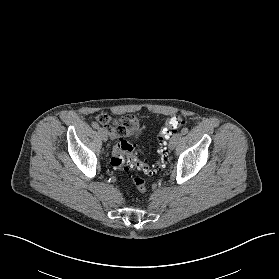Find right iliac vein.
I'll return each instance as SVG.
<instances>
[{
    "label": "right iliac vein",
    "instance_id": "63e3f726",
    "mask_svg": "<svg viewBox=\"0 0 279 279\" xmlns=\"http://www.w3.org/2000/svg\"><path fill=\"white\" fill-rule=\"evenodd\" d=\"M99 134H100V136H101V138L104 142H106L108 140V135H107V132H106L105 129L100 128L99 129Z\"/></svg>",
    "mask_w": 279,
    "mask_h": 279
}]
</instances>
